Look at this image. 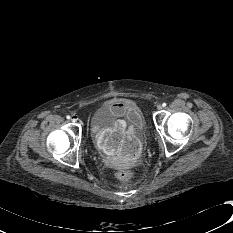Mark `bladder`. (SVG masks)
Wrapping results in <instances>:
<instances>
[{
  "label": "bladder",
  "instance_id": "31cf9c89",
  "mask_svg": "<svg viewBox=\"0 0 233 233\" xmlns=\"http://www.w3.org/2000/svg\"><path fill=\"white\" fill-rule=\"evenodd\" d=\"M127 122L128 128H135L139 133L146 131V124L138 112V109L131 105L129 109L122 110L119 116L111 105L104 104L94 113L91 122L100 129L110 130L118 126L119 119Z\"/></svg>",
  "mask_w": 233,
  "mask_h": 233
}]
</instances>
